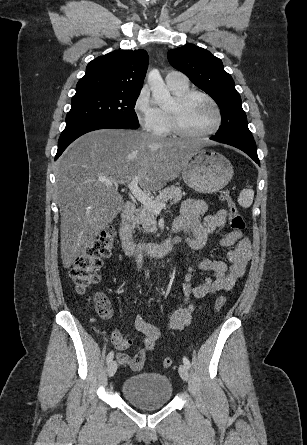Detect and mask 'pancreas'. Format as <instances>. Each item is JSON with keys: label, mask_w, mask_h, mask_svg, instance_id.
Returning <instances> with one entry per match:
<instances>
[{"label": "pancreas", "mask_w": 307, "mask_h": 445, "mask_svg": "<svg viewBox=\"0 0 307 445\" xmlns=\"http://www.w3.org/2000/svg\"><path fill=\"white\" fill-rule=\"evenodd\" d=\"M184 194H186V192H182L180 186H167V188L161 190L160 194H158L154 200L155 202H167V200H171V202L175 204V202L181 200ZM134 220H136L138 225H142V229H144L146 233H154V231H157L155 212L154 210H150L148 206H144V204L141 208H138Z\"/></svg>", "instance_id": "cf45deb5"}]
</instances>
